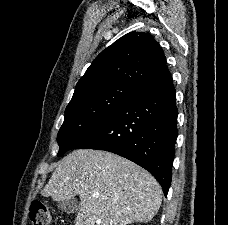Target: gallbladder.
Wrapping results in <instances>:
<instances>
[{"label":"gallbladder","mask_w":228,"mask_h":225,"mask_svg":"<svg viewBox=\"0 0 228 225\" xmlns=\"http://www.w3.org/2000/svg\"><path fill=\"white\" fill-rule=\"evenodd\" d=\"M57 207L60 211H63V213H67V215H70V213H76L78 209L77 199H75V197H71V199L59 201Z\"/></svg>","instance_id":"obj_1"}]
</instances>
